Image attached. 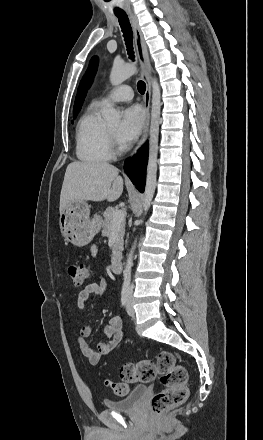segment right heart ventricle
Listing matches in <instances>:
<instances>
[{
    "instance_id": "1",
    "label": "right heart ventricle",
    "mask_w": 263,
    "mask_h": 440,
    "mask_svg": "<svg viewBox=\"0 0 263 440\" xmlns=\"http://www.w3.org/2000/svg\"><path fill=\"white\" fill-rule=\"evenodd\" d=\"M100 106L94 103L81 116L76 131V154L83 162H105L112 158L107 126L100 117Z\"/></svg>"
}]
</instances>
